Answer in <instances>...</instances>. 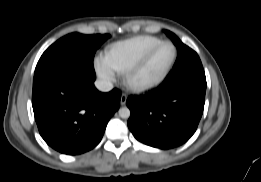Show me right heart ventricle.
<instances>
[{"instance_id":"1","label":"right heart ventricle","mask_w":261,"mask_h":182,"mask_svg":"<svg viewBox=\"0 0 261 182\" xmlns=\"http://www.w3.org/2000/svg\"><path fill=\"white\" fill-rule=\"evenodd\" d=\"M157 37L141 35L110 45L106 58L117 73H125L144 53L161 42Z\"/></svg>"}]
</instances>
